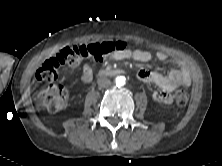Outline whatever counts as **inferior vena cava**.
I'll list each match as a JSON object with an SVG mask.
<instances>
[{
  "instance_id": "obj_1",
  "label": "inferior vena cava",
  "mask_w": 222,
  "mask_h": 166,
  "mask_svg": "<svg viewBox=\"0 0 222 166\" xmlns=\"http://www.w3.org/2000/svg\"><path fill=\"white\" fill-rule=\"evenodd\" d=\"M97 83L100 87H108L111 85V81L107 78V77H100L98 80H97Z\"/></svg>"
}]
</instances>
